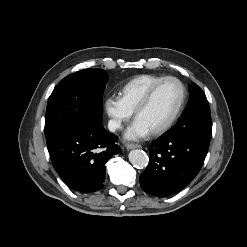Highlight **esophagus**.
<instances>
[{"mask_svg": "<svg viewBox=\"0 0 247 247\" xmlns=\"http://www.w3.org/2000/svg\"><path fill=\"white\" fill-rule=\"evenodd\" d=\"M141 147V145H139V144H126V148L128 149V150H130V149H134V148H140Z\"/></svg>", "mask_w": 247, "mask_h": 247, "instance_id": "obj_1", "label": "esophagus"}]
</instances>
